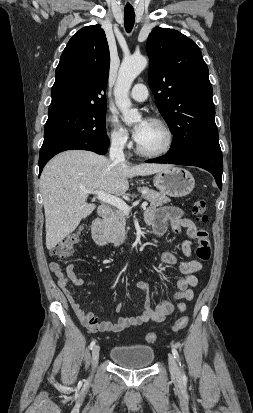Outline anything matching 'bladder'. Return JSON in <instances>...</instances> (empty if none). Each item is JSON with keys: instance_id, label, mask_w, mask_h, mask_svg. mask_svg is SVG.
I'll use <instances>...</instances> for the list:
<instances>
[{"instance_id": "obj_1", "label": "bladder", "mask_w": 253, "mask_h": 413, "mask_svg": "<svg viewBox=\"0 0 253 413\" xmlns=\"http://www.w3.org/2000/svg\"><path fill=\"white\" fill-rule=\"evenodd\" d=\"M111 360L120 367L141 369L149 367L154 359V350L147 345H119L110 351Z\"/></svg>"}]
</instances>
